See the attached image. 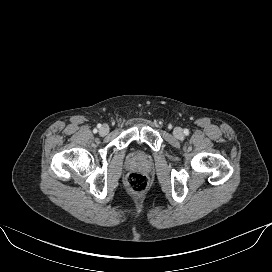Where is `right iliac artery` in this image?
Returning a JSON list of instances; mask_svg holds the SVG:
<instances>
[{
	"instance_id": "obj_1",
	"label": "right iliac artery",
	"mask_w": 272,
	"mask_h": 272,
	"mask_svg": "<svg viewBox=\"0 0 272 272\" xmlns=\"http://www.w3.org/2000/svg\"><path fill=\"white\" fill-rule=\"evenodd\" d=\"M101 127V124H98V128H100Z\"/></svg>"
}]
</instances>
